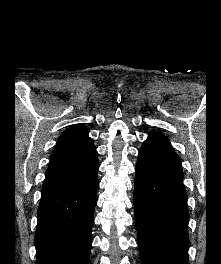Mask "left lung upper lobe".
<instances>
[{"instance_id":"left-lung-upper-lobe-1","label":"left lung upper lobe","mask_w":221,"mask_h":264,"mask_svg":"<svg viewBox=\"0 0 221 264\" xmlns=\"http://www.w3.org/2000/svg\"><path fill=\"white\" fill-rule=\"evenodd\" d=\"M147 140L157 141V142L163 144L164 146H166L167 148L173 150L172 146L170 145L169 140L162 133L153 131L150 133V136L148 137Z\"/></svg>"}]
</instances>
